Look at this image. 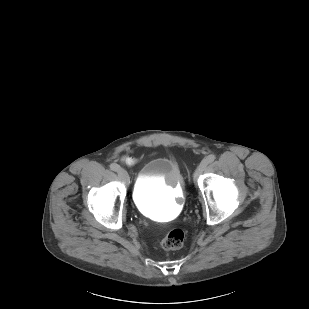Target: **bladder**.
I'll list each match as a JSON object with an SVG mask.
<instances>
[{"instance_id": "bladder-1", "label": "bladder", "mask_w": 309, "mask_h": 309, "mask_svg": "<svg viewBox=\"0 0 309 309\" xmlns=\"http://www.w3.org/2000/svg\"><path fill=\"white\" fill-rule=\"evenodd\" d=\"M183 176L178 164L167 157L143 165L133 188L135 206L158 220L174 217L181 205Z\"/></svg>"}]
</instances>
